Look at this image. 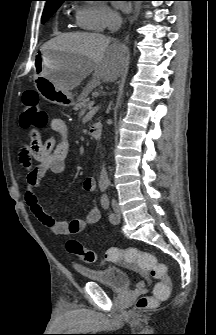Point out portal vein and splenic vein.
Listing matches in <instances>:
<instances>
[{"label": "portal vein and splenic vein", "instance_id": "obj_1", "mask_svg": "<svg viewBox=\"0 0 216 335\" xmlns=\"http://www.w3.org/2000/svg\"><path fill=\"white\" fill-rule=\"evenodd\" d=\"M94 104H95V101H90L89 104H88V107L91 108Z\"/></svg>", "mask_w": 216, "mask_h": 335}]
</instances>
